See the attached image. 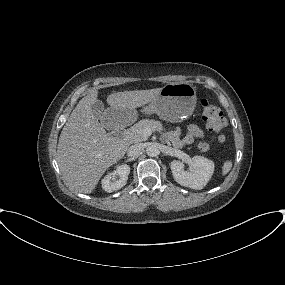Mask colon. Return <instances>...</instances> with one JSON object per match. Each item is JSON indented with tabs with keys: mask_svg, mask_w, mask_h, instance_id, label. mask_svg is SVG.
I'll list each match as a JSON object with an SVG mask.
<instances>
[{
	"mask_svg": "<svg viewBox=\"0 0 285 285\" xmlns=\"http://www.w3.org/2000/svg\"><path fill=\"white\" fill-rule=\"evenodd\" d=\"M202 117L205 121L207 129L214 133L219 143L225 142V136L223 129L227 125L226 119L223 117L220 108L208 99L201 101ZM199 149L203 152H207L210 149V145L206 140H202L199 143Z\"/></svg>",
	"mask_w": 285,
	"mask_h": 285,
	"instance_id": "5ec220e1",
	"label": "colon"
}]
</instances>
